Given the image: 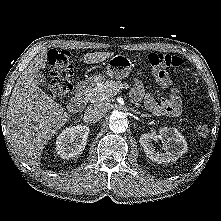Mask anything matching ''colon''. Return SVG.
<instances>
[{
  "mask_svg": "<svg viewBox=\"0 0 221 221\" xmlns=\"http://www.w3.org/2000/svg\"><path fill=\"white\" fill-rule=\"evenodd\" d=\"M47 60L52 67L46 78L48 90L54 98L64 97L72 89L74 65L71 54L68 51L51 50L47 54ZM148 62L155 72L156 81L164 87L170 84V77L165 68L179 67L183 64L179 56L164 53L149 54ZM197 132L201 136L209 134L210 124L206 119L198 122Z\"/></svg>",
  "mask_w": 221,
  "mask_h": 221,
  "instance_id": "obj_1",
  "label": "colon"
}]
</instances>
